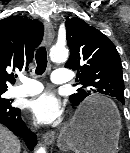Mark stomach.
<instances>
[{"label":"stomach","instance_id":"0dacf381","mask_svg":"<svg viewBox=\"0 0 130 153\" xmlns=\"http://www.w3.org/2000/svg\"><path fill=\"white\" fill-rule=\"evenodd\" d=\"M96 109V114L84 118L82 111ZM121 130V117L115 104L108 99H91L61 130L58 147L75 153H115Z\"/></svg>","mask_w":130,"mask_h":153}]
</instances>
